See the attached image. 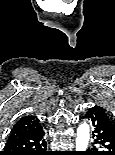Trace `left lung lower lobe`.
Here are the masks:
<instances>
[{"mask_svg":"<svg viewBox=\"0 0 115 155\" xmlns=\"http://www.w3.org/2000/svg\"><path fill=\"white\" fill-rule=\"evenodd\" d=\"M87 119L93 127L94 142L92 149L95 150V145L107 152L86 151L82 155H115V127H113L109 114L99 106H94L88 110L83 117Z\"/></svg>","mask_w":115,"mask_h":155,"instance_id":"obj_1","label":"left lung lower lobe"}]
</instances>
